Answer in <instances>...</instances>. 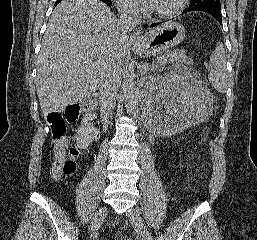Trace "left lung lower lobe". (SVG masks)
Returning <instances> with one entry per match:
<instances>
[{
  "instance_id": "1",
  "label": "left lung lower lobe",
  "mask_w": 257,
  "mask_h": 240,
  "mask_svg": "<svg viewBox=\"0 0 257 240\" xmlns=\"http://www.w3.org/2000/svg\"><path fill=\"white\" fill-rule=\"evenodd\" d=\"M190 11H203V12L209 13L220 24L222 23L221 8H219V7H206V8H199V9H189V8H187L183 13H187V12H190ZM160 23H153V24H151V27H155V26L159 25Z\"/></svg>"
}]
</instances>
